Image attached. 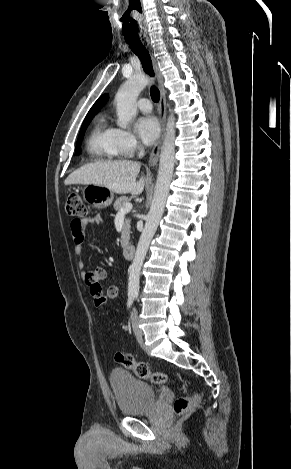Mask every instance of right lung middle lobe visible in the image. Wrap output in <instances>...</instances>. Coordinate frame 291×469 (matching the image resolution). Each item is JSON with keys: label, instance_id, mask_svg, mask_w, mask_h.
Masks as SVG:
<instances>
[{"label": "right lung middle lobe", "instance_id": "dd1d6c3e", "mask_svg": "<svg viewBox=\"0 0 291 469\" xmlns=\"http://www.w3.org/2000/svg\"><path fill=\"white\" fill-rule=\"evenodd\" d=\"M92 119V116L90 117H86L83 124H82V127H81V130H80V134H79V137H78V141H77V145H76V155H79L80 154V148H79V145H80V142L83 138V135H84V132L88 126V124L90 123Z\"/></svg>", "mask_w": 291, "mask_h": 469}]
</instances>
